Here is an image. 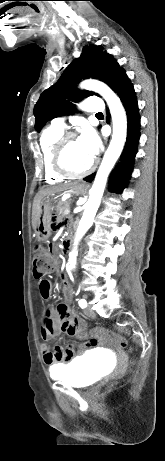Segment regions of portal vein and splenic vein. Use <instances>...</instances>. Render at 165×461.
<instances>
[{"instance_id":"18ae733b","label":"portal vein and splenic vein","mask_w":165,"mask_h":461,"mask_svg":"<svg viewBox=\"0 0 165 461\" xmlns=\"http://www.w3.org/2000/svg\"><path fill=\"white\" fill-rule=\"evenodd\" d=\"M68 214H70V209H69V208H67V209L64 211V215H68Z\"/></svg>"}]
</instances>
